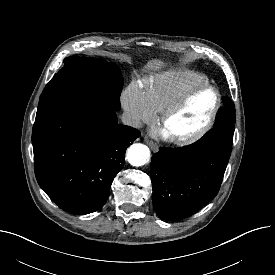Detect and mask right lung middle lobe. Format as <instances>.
Segmentation results:
<instances>
[{"label": "right lung middle lobe", "instance_id": "obj_1", "mask_svg": "<svg viewBox=\"0 0 275 275\" xmlns=\"http://www.w3.org/2000/svg\"><path fill=\"white\" fill-rule=\"evenodd\" d=\"M122 86V73L112 63L88 57L65 58L64 67L54 75L40 96L35 121L75 101L118 110Z\"/></svg>", "mask_w": 275, "mask_h": 275}]
</instances>
